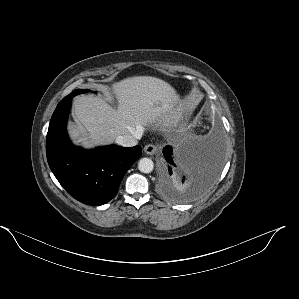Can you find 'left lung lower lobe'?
Instances as JSON below:
<instances>
[{
	"label": "left lung lower lobe",
	"instance_id": "0a47b994",
	"mask_svg": "<svg viewBox=\"0 0 299 299\" xmlns=\"http://www.w3.org/2000/svg\"><path fill=\"white\" fill-rule=\"evenodd\" d=\"M220 138L190 146L173 154L163 148L165 161L161 168L159 191L168 200L181 202L196 197L216 180L223 162Z\"/></svg>",
	"mask_w": 299,
	"mask_h": 299
}]
</instances>
